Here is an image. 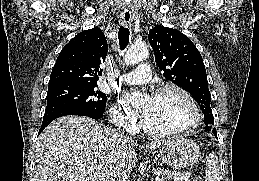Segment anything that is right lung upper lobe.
Here are the masks:
<instances>
[{"label":"right lung upper lobe","instance_id":"cb5924a9","mask_svg":"<svg viewBox=\"0 0 259 181\" xmlns=\"http://www.w3.org/2000/svg\"><path fill=\"white\" fill-rule=\"evenodd\" d=\"M107 52L108 44L100 28L80 32L59 53L49 86L65 83L97 85Z\"/></svg>","mask_w":259,"mask_h":181}]
</instances>
